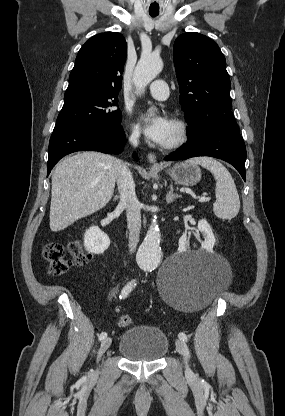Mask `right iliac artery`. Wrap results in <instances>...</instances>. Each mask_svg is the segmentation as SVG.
Returning a JSON list of instances; mask_svg holds the SVG:
<instances>
[{"instance_id": "82829eb1", "label": "right iliac artery", "mask_w": 285, "mask_h": 416, "mask_svg": "<svg viewBox=\"0 0 285 416\" xmlns=\"http://www.w3.org/2000/svg\"><path fill=\"white\" fill-rule=\"evenodd\" d=\"M136 286V281L135 280H131L127 285H125V287L122 289L121 294H120V299H124L127 297V295L132 291V289ZM107 337V333L106 332H101V334L99 335V340H104Z\"/></svg>"}]
</instances>
